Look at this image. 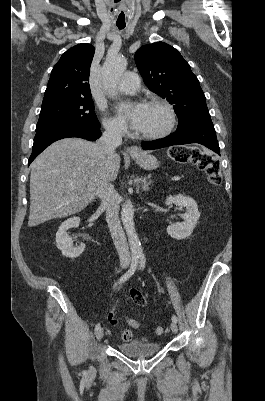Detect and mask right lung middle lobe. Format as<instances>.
I'll use <instances>...</instances> for the list:
<instances>
[{
  "label": "right lung middle lobe",
  "mask_w": 265,
  "mask_h": 401,
  "mask_svg": "<svg viewBox=\"0 0 265 401\" xmlns=\"http://www.w3.org/2000/svg\"><path fill=\"white\" fill-rule=\"evenodd\" d=\"M52 125H82L100 128L91 97L62 99L43 104L36 130Z\"/></svg>",
  "instance_id": "1"
}]
</instances>
